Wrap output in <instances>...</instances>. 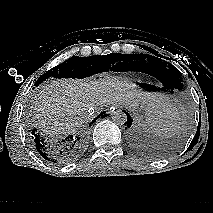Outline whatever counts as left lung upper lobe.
I'll use <instances>...</instances> for the list:
<instances>
[{
  "label": "left lung upper lobe",
  "mask_w": 213,
  "mask_h": 213,
  "mask_svg": "<svg viewBox=\"0 0 213 213\" xmlns=\"http://www.w3.org/2000/svg\"><path fill=\"white\" fill-rule=\"evenodd\" d=\"M154 55L136 54L132 62L135 65V69L150 74L157 79L169 81L173 86V90H182L183 80L181 72L172 64Z\"/></svg>",
  "instance_id": "1"
}]
</instances>
